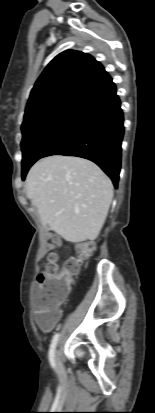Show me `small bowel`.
<instances>
[{"label": "small bowel", "mask_w": 155, "mask_h": 413, "mask_svg": "<svg viewBox=\"0 0 155 413\" xmlns=\"http://www.w3.org/2000/svg\"><path fill=\"white\" fill-rule=\"evenodd\" d=\"M44 285L41 283L36 284L34 289V304L36 305L37 298L43 292ZM36 308V306H35ZM37 322L42 328L43 331H51L59 320L61 313L59 310L50 311H41L36 308Z\"/></svg>", "instance_id": "1"}]
</instances>
